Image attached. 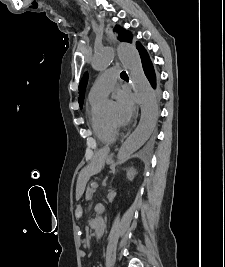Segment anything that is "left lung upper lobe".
Segmentation results:
<instances>
[{"label":"left lung upper lobe","instance_id":"1","mask_svg":"<svg viewBox=\"0 0 225 267\" xmlns=\"http://www.w3.org/2000/svg\"><path fill=\"white\" fill-rule=\"evenodd\" d=\"M115 30L119 33V39L120 41H124V42H132V34L124 29H122L119 26L115 27ZM87 81H88V74L85 73L80 84H79V105L80 108H82L83 106V100H84V93H85V89H86V85H87Z\"/></svg>","mask_w":225,"mask_h":267}]
</instances>
